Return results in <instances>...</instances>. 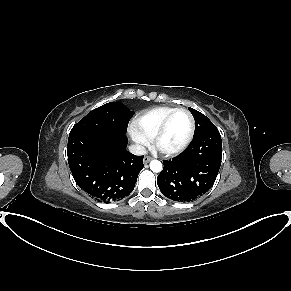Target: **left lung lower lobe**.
Here are the masks:
<instances>
[{"label": "left lung lower lobe", "instance_id": "obj_1", "mask_svg": "<svg viewBox=\"0 0 291 291\" xmlns=\"http://www.w3.org/2000/svg\"><path fill=\"white\" fill-rule=\"evenodd\" d=\"M221 159L222 141L219 131L193 139L180 155L163 161V170L157 177L161 193L180 202H190L201 197L213 186Z\"/></svg>", "mask_w": 291, "mask_h": 291}]
</instances>
